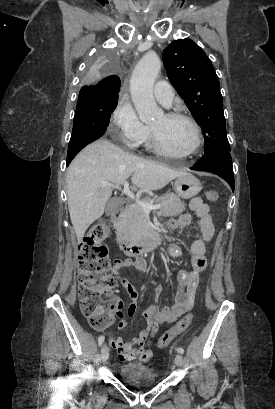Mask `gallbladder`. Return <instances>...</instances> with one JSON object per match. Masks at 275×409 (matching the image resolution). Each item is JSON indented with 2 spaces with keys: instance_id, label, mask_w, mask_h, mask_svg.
Returning a JSON list of instances; mask_svg holds the SVG:
<instances>
[{
  "instance_id": "obj_1",
  "label": "gallbladder",
  "mask_w": 275,
  "mask_h": 409,
  "mask_svg": "<svg viewBox=\"0 0 275 409\" xmlns=\"http://www.w3.org/2000/svg\"><path fill=\"white\" fill-rule=\"evenodd\" d=\"M118 207H119V200H117V198H110V200L106 202V215H112V213H115Z\"/></svg>"
}]
</instances>
